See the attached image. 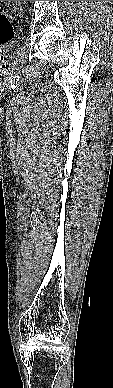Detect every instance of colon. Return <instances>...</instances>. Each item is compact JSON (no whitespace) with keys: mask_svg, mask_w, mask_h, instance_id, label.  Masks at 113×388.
<instances>
[{"mask_svg":"<svg viewBox=\"0 0 113 388\" xmlns=\"http://www.w3.org/2000/svg\"><path fill=\"white\" fill-rule=\"evenodd\" d=\"M14 37V28L11 17L7 13L0 12V45L7 44Z\"/></svg>","mask_w":113,"mask_h":388,"instance_id":"obj_1","label":"colon"}]
</instances>
